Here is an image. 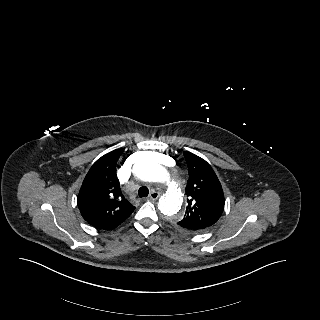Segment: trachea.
<instances>
[{
  "label": "trachea",
  "instance_id": "obj_1",
  "mask_svg": "<svg viewBox=\"0 0 320 320\" xmlns=\"http://www.w3.org/2000/svg\"><path fill=\"white\" fill-rule=\"evenodd\" d=\"M149 194V190L147 187L143 186L138 190V195L140 198L147 197Z\"/></svg>",
  "mask_w": 320,
  "mask_h": 320
}]
</instances>
